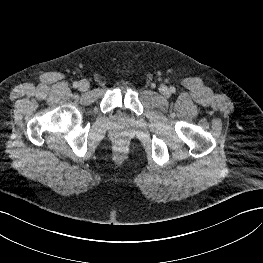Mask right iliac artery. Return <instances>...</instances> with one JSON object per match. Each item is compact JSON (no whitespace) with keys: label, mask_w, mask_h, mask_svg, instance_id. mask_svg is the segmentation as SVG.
Here are the masks:
<instances>
[{"label":"right iliac artery","mask_w":263,"mask_h":263,"mask_svg":"<svg viewBox=\"0 0 263 263\" xmlns=\"http://www.w3.org/2000/svg\"><path fill=\"white\" fill-rule=\"evenodd\" d=\"M73 87H74V88L79 87V83H78V82H74V83H73Z\"/></svg>","instance_id":"1"}]
</instances>
